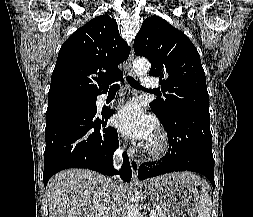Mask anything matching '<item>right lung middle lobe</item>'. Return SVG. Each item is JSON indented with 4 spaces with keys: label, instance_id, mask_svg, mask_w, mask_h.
Returning a JSON list of instances; mask_svg holds the SVG:
<instances>
[{
    "label": "right lung middle lobe",
    "instance_id": "right-lung-middle-lobe-1",
    "mask_svg": "<svg viewBox=\"0 0 253 217\" xmlns=\"http://www.w3.org/2000/svg\"><path fill=\"white\" fill-rule=\"evenodd\" d=\"M73 107H84L87 109L97 110L96 97H76L48 102L46 115Z\"/></svg>",
    "mask_w": 253,
    "mask_h": 217
}]
</instances>
